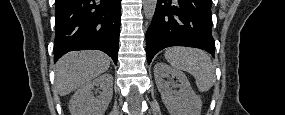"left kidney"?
<instances>
[{
  "mask_svg": "<svg viewBox=\"0 0 285 115\" xmlns=\"http://www.w3.org/2000/svg\"><path fill=\"white\" fill-rule=\"evenodd\" d=\"M154 76L162 101L171 115H200L202 101L192 90L186 75L169 65L158 62L154 66ZM175 77L179 90H172L171 82L164 78Z\"/></svg>",
  "mask_w": 285,
  "mask_h": 115,
  "instance_id": "1",
  "label": "left kidney"
}]
</instances>
